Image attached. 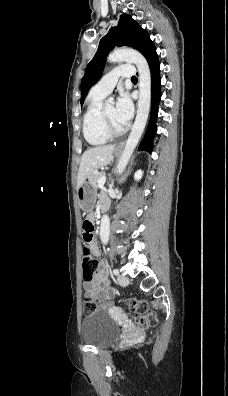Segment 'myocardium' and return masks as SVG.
I'll return each instance as SVG.
<instances>
[{
    "instance_id": "1",
    "label": "myocardium",
    "mask_w": 228,
    "mask_h": 396,
    "mask_svg": "<svg viewBox=\"0 0 228 396\" xmlns=\"http://www.w3.org/2000/svg\"><path fill=\"white\" fill-rule=\"evenodd\" d=\"M101 118H102V124H103L104 131L109 137H120L126 132L125 127H121L119 129H117L112 126V124L110 123V121L108 120V118L106 116L104 109H102V111H101Z\"/></svg>"
}]
</instances>
